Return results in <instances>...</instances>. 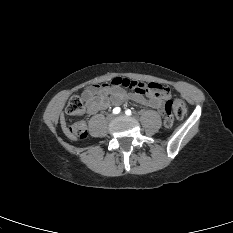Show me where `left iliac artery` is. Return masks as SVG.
<instances>
[{
  "label": "left iliac artery",
  "instance_id": "1",
  "mask_svg": "<svg viewBox=\"0 0 233 233\" xmlns=\"http://www.w3.org/2000/svg\"><path fill=\"white\" fill-rule=\"evenodd\" d=\"M125 113H126V115L130 116L132 114V111L128 109L125 111Z\"/></svg>",
  "mask_w": 233,
  "mask_h": 233
}]
</instances>
